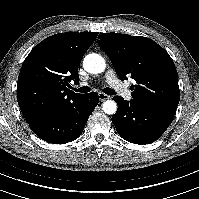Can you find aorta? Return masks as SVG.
Wrapping results in <instances>:
<instances>
[{
	"mask_svg": "<svg viewBox=\"0 0 199 199\" xmlns=\"http://www.w3.org/2000/svg\"><path fill=\"white\" fill-rule=\"evenodd\" d=\"M83 67L89 73L98 74L105 70L106 63L101 55L91 53L84 58ZM102 109L106 114L113 115L117 111V104L113 100H107L103 103Z\"/></svg>",
	"mask_w": 199,
	"mask_h": 199,
	"instance_id": "1",
	"label": "aorta"
}]
</instances>
